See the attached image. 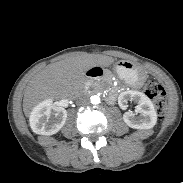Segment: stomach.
I'll use <instances>...</instances> for the list:
<instances>
[{"mask_svg":"<svg viewBox=\"0 0 183 183\" xmlns=\"http://www.w3.org/2000/svg\"><path fill=\"white\" fill-rule=\"evenodd\" d=\"M115 71L130 86H141L146 79V72L127 60L117 62Z\"/></svg>","mask_w":183,"mask_h":183,"instance_id":"stomach-1","label":"stomach"}]
</instances>
